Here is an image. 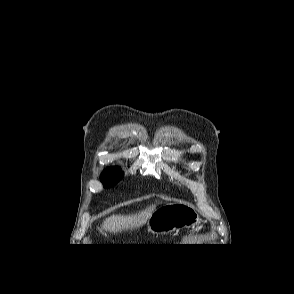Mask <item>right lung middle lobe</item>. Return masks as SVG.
<instances>
[{
    "mask_svg": "<svg viewBox=\"0 0 294 294\" xmlns=\"http://www.w3.org/2000/svg\"><path fill=\"white\" fill-rule=\"evenodd\" d=\"M123 174L118 167H109L104 170L101 176V181L104 184L105 188L114 186L120 179Z\"/></svg>",
    "mask_w": 294,
    "mask_h": 294,
    "instance_id": "1",
    "label": "right lung middle lobe"
}]
</instances>
